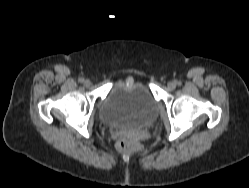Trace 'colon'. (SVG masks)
<instances>
[{"label": "colon", "instance_id": "5ec220e1", "mask_svg": "<svg viewBox=\"0 0 249 188\" xmlns=\"http://www.w3.org/2000/svg\"><path fill=\"white\" fill-rule=\"evenodd\" d=\"M117 145L121 151H131L138 146V138L134 134H126L118 141Z\"/></svg>", "mask_w": 249, "mask_h": 188}]
</instances>
